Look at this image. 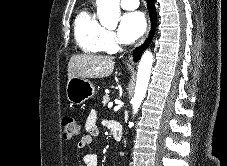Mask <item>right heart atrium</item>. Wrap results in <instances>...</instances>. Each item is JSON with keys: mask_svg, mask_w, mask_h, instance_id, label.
Masks as SVG:
<instances>
[{"mask_svg": "<svg viewBox=\"0 0 227 166\" xmlns=\"http://www.w3.org/2000/svg\"><path fill=\"white\" fill-rule=\"evenodd\" d=\"M119 44V41L112 31H107L105 36V50L111 51L114 50Z\"/></svg>", "mask_w": 227, "mask_h": 166, "instance_id": "right-heart-atrium-1", "label": "right heart atrium"}]
</instances>
